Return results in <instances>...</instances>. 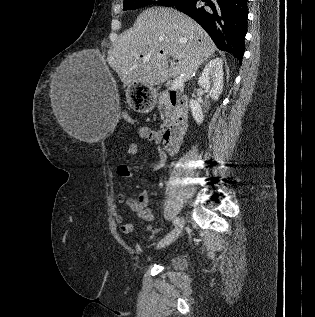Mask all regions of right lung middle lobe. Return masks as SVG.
I'll return each mask as SVG.
<instances>
[{
    "instance_id": "1",
    "label": "right lung middle lobe",
    "mask_w": 315,
    "mask_h": 317,
    "mask_svg": "<svg viewBox=\"0 0 315 317\" xmlns=\"http://www.w3.org/2000/svg\"><path fill=\"white\" fill-rule=\"evenodd\" d=\"M180 0H124V10H133L148 4H160L162 6H173Z\"/></svg>"
}]
</instances>
